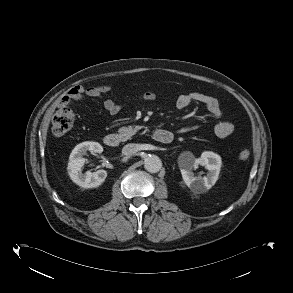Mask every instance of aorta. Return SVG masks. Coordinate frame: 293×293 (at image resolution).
Listing matches in <instances>:
<instances>
[{
	"instance_id": "1",
	"label": "aorta",
	"mask_w": 293,
	"mask_h": 293,
	"mask_svg": "<svg viewBox=\"0 0 293 293\" xmlns=\"http://www.w3.org/2000/svg\"><path fill=\"white\" fill-rule=\"evenodd\" d=\"M162 167L161 159L156 155H147L144 159V168L150 173H157Z\"/></svg>"
}]
</instances>
